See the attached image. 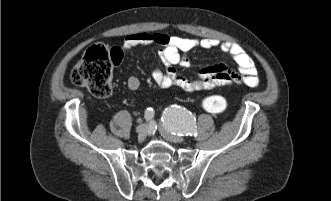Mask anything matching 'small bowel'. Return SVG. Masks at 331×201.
Instances as JSON below:
<instances>
[{"mask_svg":"<svg viewBox=\"0 0 331 201\" xmlns=\"http://www.w3.org/2000/svg\"><path fill=\"white\" fill-rule=\"evenodd\" d=\"M153 44L161 47L160 58L165 69H154L152 78L162 88L176 86L192 93L221 85L244 84L255 87L259 83L254 60L241 45L236 43L221 42L214 38L190 39L163 33L138 32L125 37L122 49L128 52L139 45ZM195 48L220 49L233 58L238 70H232L224 64L210 65L201 68L195 79H186L178 73L176 66L189 68L191 64L186 54ZM127 87L131 91L138 90L139 78L130 75L127 79Z\"/></svg>","mask_w":331,"mask_h":201,"instance_id":"1","label":"small bowel"}]
</instances>
